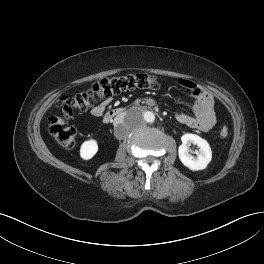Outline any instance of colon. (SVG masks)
Masks as SVG:
<instances>
[{
    "label": "colon",
    "instance_id": "5ec220e1",
    "mask_svg": "<svg viewBox=\"0 0 264 264\" xmlns=\"http://www.w3.org/2000/svg\"><path fill=\"white\" fill-rule=\"evenodd\" d=\"M158 87L157 78L144 73L104 78L88 90L75 96L62 97L59 113L53 115L49 120V132L62 147L72 148L76 142L77 131L69 123V120L75 112L87 111L99 100L111 98L127 90H155ZM228 134L227 126L223 125L220 129V135L226 138Z\"/></svg>",
    "mask_w": 264,
    "mask_h": 264
}]
</instances>
